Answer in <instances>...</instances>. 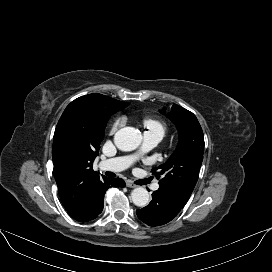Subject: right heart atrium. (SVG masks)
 Segmentation results:
<instances>
[{
    "mask_svg": "<svg viewBox=\"0 0 272 272\" xmlns=\"http://www.w3.org/2000/svg\"><path fill=\"white\" fill-rule=\"evenodd\" d=\"M122 123H123V119H122V118H118V119L114 122V124H113V126H112V129H111V132H115V131L117 130V128H118L119 126L122 125Z\"/></svg>",
    "mask_w": 272,
    "mask_h": 272,
    "instance_id": "right-heart-atrium-1",
    "label": "right heart atrium"
}]
</instances>
